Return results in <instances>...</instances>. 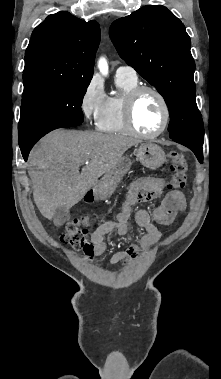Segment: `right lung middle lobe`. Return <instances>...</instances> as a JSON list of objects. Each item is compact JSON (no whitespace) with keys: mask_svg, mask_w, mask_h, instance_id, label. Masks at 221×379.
Returning <instances> with one entry per match:
<instances>
[{"mask_svg":"<svg viewBox=\"0 0 221 379\" xmlns=\"http://www.w3.org/2000/svg\"><path fill=\"white\" fill-rule=\"evenodd\" d=\"M91 79L76 80L23 92L18 125L19 141L83 122V97Z\"/></svg>","mask_w":221,"mask_h":379,"instance_id":"dd1d6c3e","label":"right lung middle lobe"}]
</instances>
